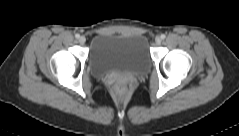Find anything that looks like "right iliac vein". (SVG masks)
Segmentation results:
<instances>
[{"label": "right iliac vein", "mask_w": 239, "mask_h": 136, "mask_svg": "<svg viewBox=\"0 0 239 136\" xmlns=\"http://www.w3.org/2000/svg\"><path fill=\"white\" fill-rule=\"evenodd\" d=\"M86 42V38L84 36L79 37V43L84 44Z\"/></svg>", "instance_id": "1"}]
</instances>
